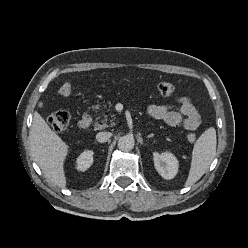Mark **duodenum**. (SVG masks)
I'll return each instance as SVG.
<instances>
[{
  "mask_svg": "<svg viewBox=\"0 0 248 248\" xmlns=\"http://www.w3.org/2000/svg\"><path fill=\"white\" fill-rule=\"evenodd\" d=\"M92 119L89 115H84L78 122V127L80 130H86L90 127Z\"/></svg>",
  "mask_w": 248,
  "mask_h": 248,
  "instance_id": "obj_1",
  "label": "duodenum"
}]
</instances>
